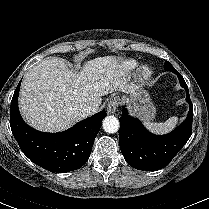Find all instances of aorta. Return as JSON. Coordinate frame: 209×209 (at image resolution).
Wrapping results in <instances>:
<instances>
[{"instance_id":"1","label":"aorta","mask_w":209,"mask_h":209,"mask_svg":"<svg viewBox=\"0 0 209 209\" xmlns=\"http://www.w3.org/2000/svg\"><path fill=\"white\" fill-rule=\"evenodd\" d=\"M102 124L107 133H116L120 126L119 120L115 116H107Z\"/></svg>"}]
</instances>
